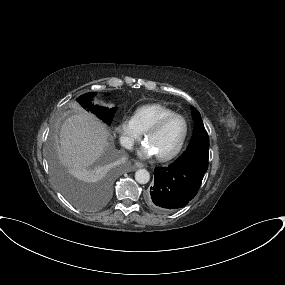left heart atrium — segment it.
Instances as JSON below:
<instances>
[{"label":"left heart atrium","instance_id":"39dd6f15","mask_svg":"<svg viewBox=\"0 0 285 285\" xmlns=\"http://www.w3.org/2000/svg\"><path fill=\"white\" fill-rule=\"evenodd\" d=\"M139 155L143 158H148L154 156L155 152L152 147L147 142H145L139 150Z\"/></svg>","mask_w":285,"mask_h":285}]
</instances>
